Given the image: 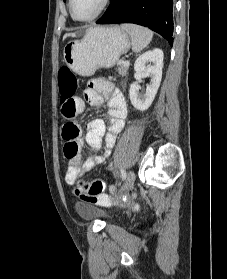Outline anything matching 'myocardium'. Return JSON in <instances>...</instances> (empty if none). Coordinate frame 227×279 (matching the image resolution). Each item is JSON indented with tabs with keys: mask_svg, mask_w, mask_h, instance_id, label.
<instances>
[{
	"mask_svg": "<svg viewBox=\"0 0 227 279\" xmlns=\"http://www.w3.org/2000/svg\"><path fill=\"white\" fill-rule=\"evenodd\" d=\"M109 4H110V0H101L98 10L90 17L83 18V19L75 16V14L73 12V0H69L68 9H69V13H70L71 17L73 18V20H75L77 22H90V21L97 19L99 16H101L106 11Z\"/></svg>",
	"mask_w": 227,
	"mask_h": 279,
	"instance_id": "1",
	"label": "myocardium"
}]
</instances>
